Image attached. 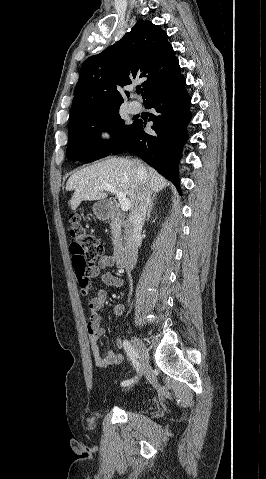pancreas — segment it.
Returning <instances> with one entry per match:
<instances>
[{"mask_svg": "<svg viewBox=\"0 0 266 479\" xmlns=\"http://www.w3.org/2000/svg\"><path fill=\"white\" fill-rule=\"evenodd\" d=\"M111 234H112V242L114 246V251H119L121 248L122 244V236H121V230H120V223L119 222H113L111 224Z\"/></svg>", "mask_w": 266, "mask_h": 479, "instance_id": "cf45deb5", "label": "pancreas"}]
</instances>
